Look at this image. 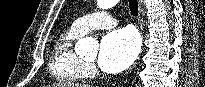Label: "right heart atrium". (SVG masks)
<instances>
[{"label":"right heart atrium","mask_w":205,"mask_h":87,"mask_svg":"<svg viewBox=\"0 0 205 87\" xmlns=\"http://www.w3.org/2000/svg\"><path fill=\"white\" fill-rule=\"evenodd\" d=\"M85 71L88 76L94 74L95 68L91 64H86Z\"/></svg>","instance_id":"right-heart-atrium-1"}]
</instances>
